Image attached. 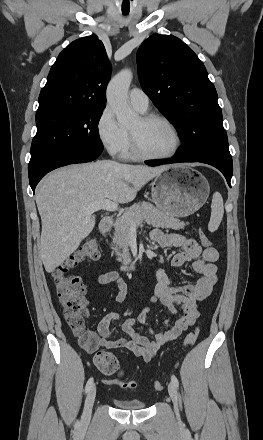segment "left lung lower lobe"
<instances>
[{
    "mask_svg": "<svg viewBox=\"0 0 263 440\" xmlns=\"http://www.w3.org/2000/svg\"><path fill=\"white\" fill-rule=\"evenodd\" d=\"M179 162H201L214 166L223 173V175L227 180V183L231 187L230 181L233 174V162L231 155L211 156L202 159L189 160L177 154L172 159L147 161L146 164L150 166H158L162 164H171V163H179Z\"/></svg>",
    "mask_w": 263,
    "mask_h": 440,
    "instance_id": "left-lung-lower-lobe-1",
    "label": "left lung lower lobe"
}]
</instances>
